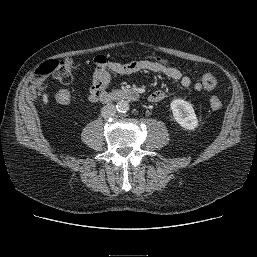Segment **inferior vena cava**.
Returning a JSON list of instances; mask_svg holds the SVG:
<instances>
[{"mask_svg":"<svg viewBox=\"0 0 257 257\" xmlns=\"http://www.w3.org/2000/svg\"><path fill=\"white\" fill-rule=\"evenodd\" d=\"M116 114V107L112 103H108L101 109V115L104 118L113 117Z\"/></svg>","mask_w":257,"mask_h":257,"instance_id":"602c4592","label":"inferior vena cava"}]
</instances>
